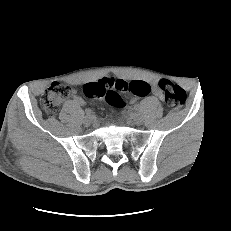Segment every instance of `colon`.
Listing matches in <instances>:
<instances>
[{"label":"colon","instance_id":"5ec220e1","mask_svg":"<svg viewBox=\"0 0 231 231\" xmlns=\"http://www.w3.org/2000/svg\"><path fill=\"white\" fill-rule=\"evenodd\" d=\"M158 86L164 94V101L172 110H179L186 101L184 90L168 79H160ZM84 94L89 98H103L108 104L114 107L123 105L122 93H132L136 96H146L150 92L147 82L135 80L126 82L124 80H114L109 78L101 79L97 82L88 83L83 88ZM72 93V88L65 83L54 82L44 92L41 97V105L50 117L58 112L63 100Z\"/></svg>","mask_w":231,"mask_h":231}]
</instances>
